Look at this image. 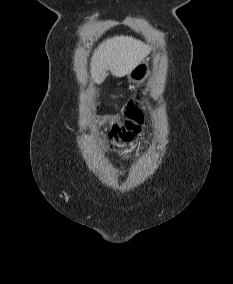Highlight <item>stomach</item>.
Here are the masks:
<instances>
[{
  "mask_svg": "<svg viewBox=\"0 0 233 284\" xmlns=\"http://www.w3.org/2000/svg\"><path fill=\"white\" fill-rule=\"evenodd\" d=\"M148 75L149 62L148 60H143L128 73V80L132 84H140L147 78Z\"/></svg>",
  "mask_w": 233,
  "mask_h": 284,
  "instance_id": "stomach-1",
  "label": "stomach"
}]
</instances>
